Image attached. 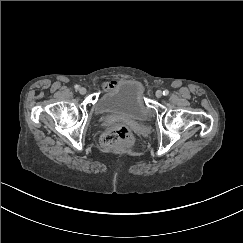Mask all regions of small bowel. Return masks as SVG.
Returning <instances> with one entry per match:
<instances>
[{
	"mask_svg": "<svg viewBox=\"0 0 243 243\" xmlns=\"http://www.w3.org/2000/svg\"><path fill=\"white\" fill-rule=\"evenodd\" d=\"M115 84V82H110L108 84H106V88H110V87H113Z\"/></svg>",
	"mask_w": 243,
	"mask_h": 243,
	"instance_id": "1",
	"label": "small bowel"
}]
</instances>
